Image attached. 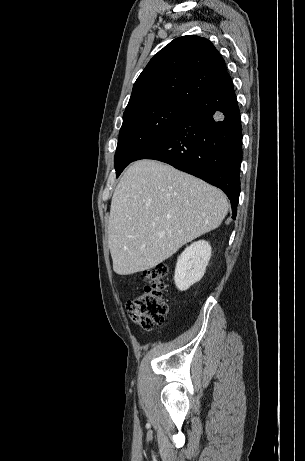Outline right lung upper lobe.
I'll return each mask as SVG.
<instances>
[{
    "label": "right lung upper lobe",
    "mask_w": 305,
    "mask_h": 461,
    "mask_svg": "<svg viewBox=\"0 0 305 461\" xmlns=\"http://www.w3.org/2000/svg\"><path fill=\"white\" fill-rule=\"evenodd\" d=\"M231 80L226 64L207 39H174L147 64L134 83L123 115L162 102L190 105Z\"/></svg>",
    "instance_id": "obj_1"
}]
</instances>
